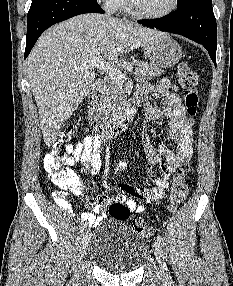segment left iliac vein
Here are the masks:
<instances>
[{"instance_id":"obj_1","label":"left iliac vein","mask_w":233,"mask_h":286,"mask_svg":"<svg viewBox=\"0 0 233 286\" xmlns=\"http://www.w3.org/2000/svg\"><path fill=\"white\" fill-rule=\"evenodd\" d=\"M153 251H154L156 259L159 263L162 276L164 278H167L168 277V269H167V266L165 263V257H164L162 246L158 240L153 243Z\"/></svg>"}]
</instances>
